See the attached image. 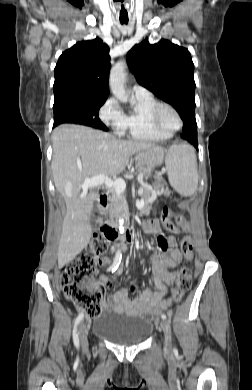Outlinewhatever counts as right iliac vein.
I'll return each instance as SVG.
<instances>
[{
  "instance_id": "63e3f726",
  "label": "right iliac vein",
  "mask_w": 252,
  "mask_h": 390,
  "mask_svg": "<svg viewBox=\"0 0 252 390\" xmlns=\"http://www.w3.org/2000/svg\"><path fill=\"white\" fill-rule=\"evenodd\" d=\"M88 330V325L85 322H81L79 325V338L84 349L88 347Z\"/></svg>"
}]
</instances>
